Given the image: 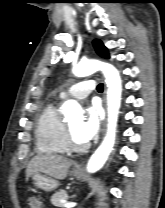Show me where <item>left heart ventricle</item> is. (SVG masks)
<instances>
[{"mask_svg":"<svg viewBox=\"0 0 165 208\" xmlns=\"http://www.w3.org/2000/svg\"><path fill=\"white\" fill-rule=\"evenodd\" d=\"M80 123H81L80 118H73V119H70L67 124L71 130L73 139L79 144H84L77 134Z\"/></svg>","mask_w":165,"mask_h":208,"instance_id":"obj_1","label":"left heart ventricle"}]
</instances>
